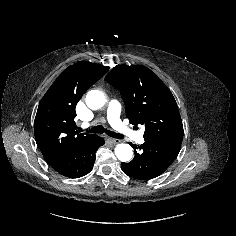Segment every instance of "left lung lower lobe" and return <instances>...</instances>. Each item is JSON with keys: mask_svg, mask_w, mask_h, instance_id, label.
<instances>
[{"mask_svg": "<svg viewBox=\"0 0 236 236\" xmlns=\"http://www.w3.org/2000/svg\"><path fill=\"white\" fill-rule=\"evenodd\" d=\"M183 137H169L164 139H145V142L134 149V159L129 163H121L122 171L138 180H149L160 176L177 158Z\"/></svg>", "mask_w": 236, "mask_h": 236, "instance_id": "0a47b994", "label": "left lung lower lobe"}]
</instances>
